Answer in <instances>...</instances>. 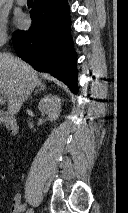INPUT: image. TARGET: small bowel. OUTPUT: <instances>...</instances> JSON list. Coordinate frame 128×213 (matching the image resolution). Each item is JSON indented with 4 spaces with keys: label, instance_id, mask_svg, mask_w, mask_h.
I'll use <instances>...</instances> for the list:
<instances>
[{
    "label": "small bowel",
    "instance_id": "1",
    "mask_svg": "<svg viewBox=\"0 0 128 213\" xmlns=\"http://www.w3.org/2000/svg\"><path fill=\"white\" fill-rule=\"evenodd\" d=\"M0 177H3V175L0 174ZM24 209V206L21 204V196L19 193H16L13 197L10 211L11 213H22Z\"/></svg>",
    "mask_w": 128,
    "mask_h": 213
}]
</instances>
